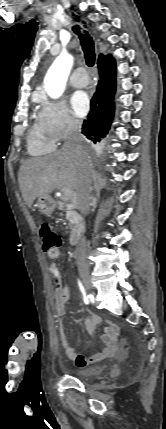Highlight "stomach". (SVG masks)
<instances>
[{"instance_id":"obj_1","label":"stomach","mask_w":166,"mask_h":429,"mask_svg":"<svg viewBox=\"0 0 166 429\" xmlns=\"http://www.w3.org/2000/svg\"><path fill=\"white\" fill-rule=\"evenodd\" d=\"M37 208L42 214L50 215L55 209V202L51 196H40L36 203Z\"/></svg>"}]
</instances>
